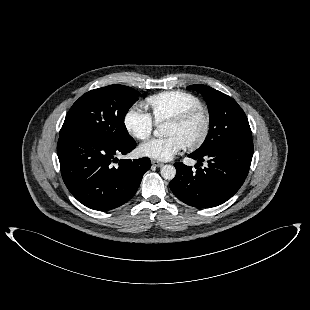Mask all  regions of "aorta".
Wrapping results in <instances>:
<instances>
[{
	"label": "aorta",
	"instance_id": "762f6f07",
	"mask_svg": "<svg viewBox=\"0 0 310 310\" xmlns=\"http://www.w3.org/2000/svg\"><path fill=\"white\" fill-rule=\"evenodd\" d=\"M154 136L159 137L163 135L161 129H156L153 132ZM176 175V169L173 165H164L161 168V176L166 180H172Z\"/></svg>",
	"mask_w": 310,
	"mask_h": 310
}]
</instances>
